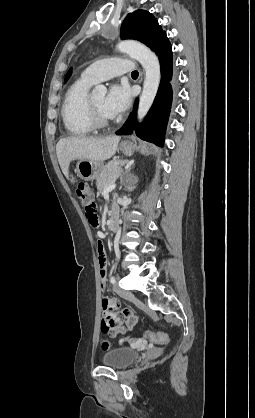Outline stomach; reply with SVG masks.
Wrapping results in <instances>:
<instances>
[{
  "label": "stomach",
  "instance_id": "obj_1",
  "mask_svg": "<svg viewBox=\"0 0 255 418\" xmlns=\"http://www.w3.org/2000/svg\"><path fill=\"white\" fill-rule=\"evenodd\" d=\"M136 148L140 149L142 152L146 151L145 144H140L137 147L131 141H124L119 146V149L126 155H131ZM103 168L104 165L102 161L79 160L76 166V173L81 179L92 181L98 178Z\"/></svg>",
  "mask_w": 255,
  "mask_h": 418
}]
</instances>
